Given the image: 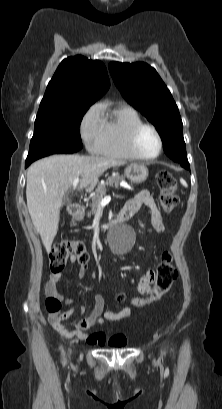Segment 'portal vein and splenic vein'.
<instances>
[{
  "label": "portal vein and splenic vein",
  "mask_w": 222,
  "mask_h": 409,
  "mask_svg": "<svg viewBox=\"0 0 222 409\" xmlns=\"http://www.w3.org/2000/svg\"><path fill=\"white\" fill-rule=\"evenodd\" d=\"M78 183H79V178H75V179L73 180V189H75V188L77 187ZM106 203H107V200H106V199H102V200L100 201V205H101V206L105 205Z\"/></svg>",
  "instance_id": "18ae733b"
}]
</instances>
